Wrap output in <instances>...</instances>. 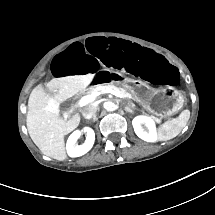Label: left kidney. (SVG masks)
<instances>
[{"instance_id": "1", "label": "left kidney", "mask_w": 215, "mask_h": 215, "mask_svg": "<svg viewBox=\"0 0 215 215\" xmlns=\"http://www.w3.org/2000/svg\"><path fill=\"white\" fill-rule=\"evenodd\" d=\"M142 124L145 125V127L148 129V132L144 131V129L141 126ZM132 125L136 135L142 140L147 142H155L157 140L155 122L150 117L142 116V115L136 116L132 120ZM140 132H142L145 136L142 137L140 135Z\"/></svg>"}]
</instances>
